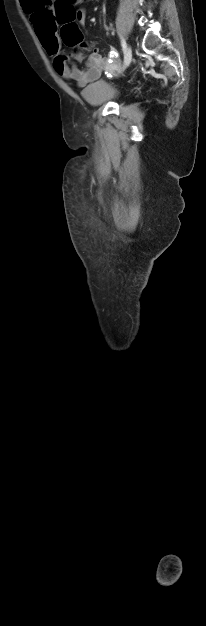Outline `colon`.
<instances>
[{"instance_id":"colon-1","label":"colon","mask_w":206,"mask_h":626,"mask_svg":"<svg viewBox=\"0 0 206 626\" xmlns=\"http://www.w3.org/2000/svg\"><path fill=\"white\" fill-rule=\"evenodd\" d=\"M86 0H57V20L61 27V37L63 42L73 49L72 55L79 56V48L83 44L82 33L76 23H74L73 6L85 2ZM29 10L34 9L29 7Z\"/></svg>"}]
</instances>
